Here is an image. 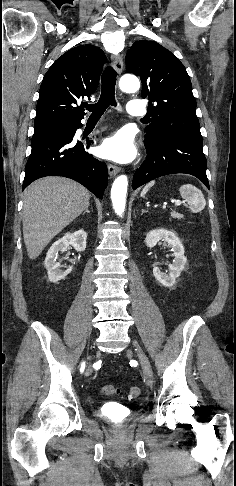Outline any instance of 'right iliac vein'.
I'll use <instances>...</instances> for the list:
<instances>
[{
  "instance_id": "obj_1",
  "label": "right iliac vein",
  "mask_w": 236,
  "mask_h": 486,
  "mask_svg": "<svg viewBox=\"0 0 236 486\" xmlns=\"http://www.w3.org/2000/svg\"><path fill=\"white\" fill-rule=\"evenodd\" d=\"M89 371L91 372V371H92V369L90 368V369H89Z\"/></svg>"
}]
</instances>
